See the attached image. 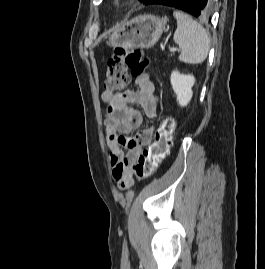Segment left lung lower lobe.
I'll list each match as a JSON object with an SVG mask.
<instances>
[{"mask_svg": "<svg viewBox=\"0 0 265 269\" xmlns=\"http://www.w3.org/2000/svg\"><path fill=\"white\" fill-rule=\"evenodd\" d=\"M144 4L174 7L201 19L209 17L212 12L211 0H146Z\"/></svg>", "mask_w": 265, "mask_h": 269, "instance_id": "obj_1", "label": "left lung lower lobe"}]
</instances>
